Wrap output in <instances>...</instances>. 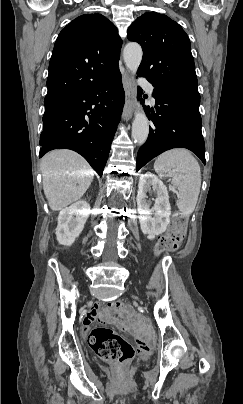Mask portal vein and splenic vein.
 Listing matches in <instances>:
<instances>
[{
    "mask_svg": "<svg viewBox=\"0 0 243 404\" xmlns=\"http://www.w3.org/2000/svg\"><path fill=\"white\" fill-rule=\"evenodd\" d=\"M169 178H171V175H168V178H166V181H169Z\"/></svg>",
    "mask_w": 243,
    "mask_h": 404,
    "instance_id": "1",
    "label": "portal vein and splenic vein"
}]
</instances>
